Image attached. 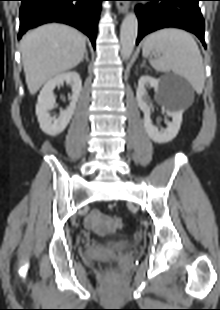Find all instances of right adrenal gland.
I'll return each instance as SVG.
<instances>
[{
  "mask_svg": "<svg viewBox=\"0 0 220 310\" xmlns=\"http://www.w3.org/2000/svg\"><path fill=\"white\" fill-rule=\"evenodd\" d=\"M84 59H85L87 62H89V59H88V52H87V51L85 52V55H84V58L82 59V61H83Z\"/></svg>",
  "mask_w": 220,
  "mask_h": 310,
  "instance_id": "2a0ac1e0",
  "label": "right adrenal gland"
}]
</instances>
